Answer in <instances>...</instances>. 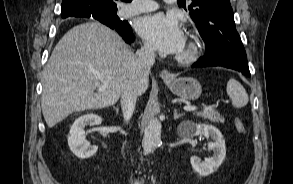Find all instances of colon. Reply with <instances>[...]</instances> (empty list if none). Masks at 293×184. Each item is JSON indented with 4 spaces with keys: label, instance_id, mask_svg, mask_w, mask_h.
I'll return each mask as SVG.
<instances>
[{
    "label": "colon",
    "instance_id": "colon-1",
    "mask_svg": "<svg viewBox=\"0 0 293 184\" xmlns=\"http://www.w3.org/2000/svg\"><path fill=\"white\" fill-rule=\"evenodd\" d=\"M235 127L237 129V131L241 134H245L246 133V129L242 123V121L239 118L235 119Z\"/></svg>",
    "mask_w": 293,
    "mask_h": 184
}]
</instances>
